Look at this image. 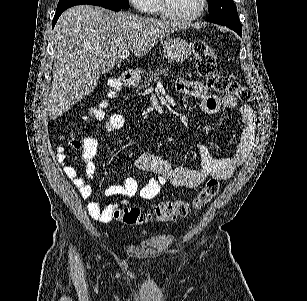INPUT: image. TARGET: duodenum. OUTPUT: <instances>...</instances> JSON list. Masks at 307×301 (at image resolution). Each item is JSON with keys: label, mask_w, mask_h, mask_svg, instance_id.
<instances>
[{"label": "duodenum", "mask_w": 307, "mask_h": 301, "mask_svg": "<svg viewBox=\"0 0 307 301\" xmlns=\"http://www.w3.org/2000/svg\"><path fill=\"white\" fill-rule=\"evenodd\" d=\"M123 80L127 86H133L136 82V77L132 73H125Z\"/></svg>", "instance_id": "duodenum-1"}]
</instances>
